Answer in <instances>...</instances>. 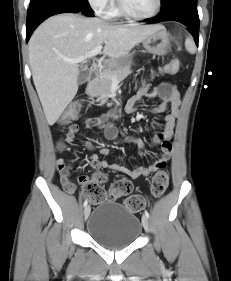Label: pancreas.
Masks as SVG:
<instances>
[{"label": "pancreas", "mask_w": 231, "mask_h": 281, "mask_svg": "<svg viewBox=\"0 0 231 281\" xmlns=\"http://www.w3.org/2000/svg\"><path fill=\"white\" fill-rule=\"evenodd\" d=\"M130 74V65L106 69L91 82L88 88V94L92 97H97L100 105H103L109 97L114 82L113 79L119 83Z\"/></svg>", "instance_id": "1"}]
</instances>
